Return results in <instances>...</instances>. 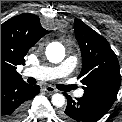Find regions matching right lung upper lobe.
Returning a JSON list of instances; mask_svg holds the SVG:
<instances>
[{"instance_id":"obj_1","label":"right lung upper lobe","mask_w":122,"mask_h":122,"mask_svg":"<svg viewBox=\"0 0 122 122\" xmlns=\"http://www.w3.org/2000/svg\"><path fill=\"white\" fill-rule=\"evenodd\" d=\"M49 31L45 30L38 16L24 13L1 25V81L22 80L16 68L25 64L29 49Z\"/></svg>"}]
</instances>
